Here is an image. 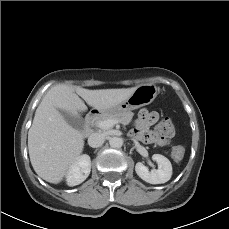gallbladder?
<instances>
[{
	"mask_svg": "<svg viewBox=\"0 0 229 229\" xmlns=\"http://www.w3.org/2000/svg\"><path fill=\"white\" fill-rule=\"evenodd\" d=\"M60 113L63 115L66 122L74 128L82 127V119L80 116H73L65 111L60 110Z\"/></svg>",
	"mask_w": 229,
	"mask_h": 229,
	"instance_id": "gallbladder-1",
	"label": "gallbladder"
}]
</instances>
